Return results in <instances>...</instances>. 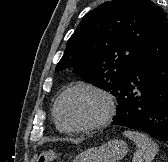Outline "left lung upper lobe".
Masks as SVG:
<instances>
[{"mask_svg": "<svg viewBox=\"0 0 168 162\" xmlns=\"http://www.w3.org/2000/svg\"><path fill=\"white\" fill-rule=\"evenodd\" d=\"M167 18L151 0H112L88 13L66 44L56 71L72 68L113 95Z\"/></svg>", "mask_w": 168, "mask_h": 162, "instance_id": "5c2ea615", "label": "left lung upper lobe"}]
</instances>
